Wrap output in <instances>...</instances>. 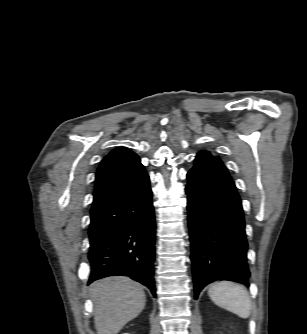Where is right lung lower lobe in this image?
Listing matches in <instances>:
<instances>
[{"instance_id":"right-lung-lower-lobe-1","label":"right lung lower lobe","mask_w":307,"mask_h":334,"mask_svg":"<svg viewBox=\"0 0 307 334\" xmlns=\"http://www.w3.org/2000/svg\"><path fill=\"white\" fill-rule=\"evenodd\" d=\"M90 217L88 284L123 275L147 286L155 296V220L148 175L91 210Z\"/></svg>"}]
</instances>
